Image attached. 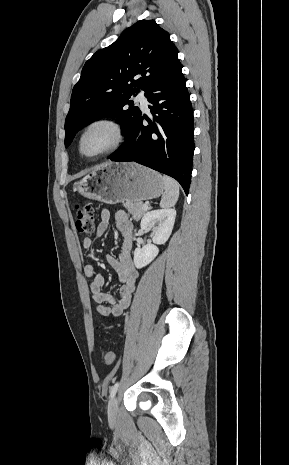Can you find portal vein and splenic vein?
I'll use <instances>...</instances> for the list:
<instances>
[{
    "instance_id": "18ae733b",
    "label": "portal vein and splenic vein",
    "mask_w": 289,
    "mask_h": 465,
    "mask_svg": "<svg viewBox=\"0 0 289 465\" xmlns=\"http://www.w3.org/2000/svg\"><path fill=\"white\" fill-rule=\"evenodd\" d=\"M143 209H148V205L147 204H143Z\"/></svg>"
}]
</instances>
